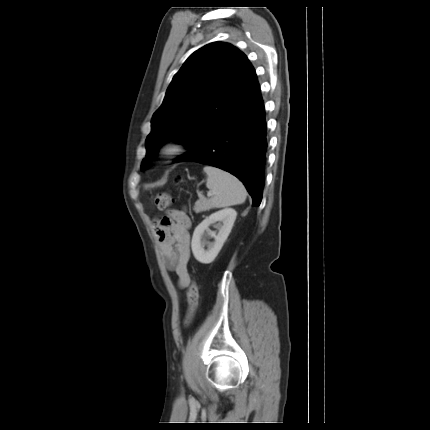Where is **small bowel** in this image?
I'll return each instance as SVG.
<instances>
[{"mask_svg":"<svg viewBox=\"0 0 430 430\" xmlns=\"http://www.w3.org/2000/svg\"><path fill=\"white\" fill-rule=\"evenodd\" d=\"M190 219L184 210H171L155 225V234L160 243L166 268L175 272L178 287L183 289L190 283L188 263L190 258Z\"/></svg>","mask_w":430,"mask_h":430,"instance_id":"c3829d8e","label":"small bowel"}]
</instances>
